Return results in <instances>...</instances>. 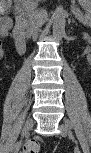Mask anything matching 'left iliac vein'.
I'll use <instances>...</instances> for the list:
<instances>
[{"label":"left iliac vein","instance_id":"4c4485c4","mask_svg":"<svg viewBox=\"0 0 91 153\" xmlns=\"http://www.w3.org/2000/svg\"><path fill=\"white\" fill-rule=\"evenodd\" d=\"M67 124V121L63 124L60 125V130H61V136L66 137L67 135V127L65 126Z\"/></svg>","mask_w":91,"mask_h":153}]
</instances>
